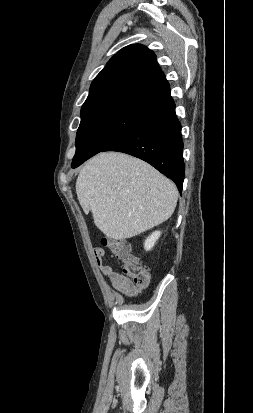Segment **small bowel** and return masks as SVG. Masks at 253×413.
<instances>
[{
    "label": "small bowel",
    "mask_w": 253,
    "mask_h": 413,
    "mask_svg": "<svg viewBox=\"0 0 253 413\" xmlns=\"http://www.w3.org/2000/svg\"><path fill=\"white\" fill-rule=\"evenodd\" d=\"M93 255L101 274L108 277L110 284L118 293L126 297H134L144 289V287L134 284L126 275L108 264L102 248H94Z\"/></svg>",
    "instance_id": "small-bowel-1"
}]
</instances>
